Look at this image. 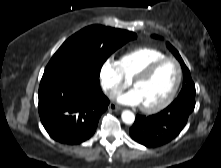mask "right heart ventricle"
<instances>
[{"label":"right heart ventricle","mask_w":221,"mask_h":168,"mask_svg":"<svg viewBox=\"0 0 221 168\" xmlns=\"http://www.w3.org/2000/svg\"><path fill=\"white\" fill-rule=\"evenodd\" d=\"M164 57H166V55L162 51L144 47L124 53L118 62L125 78L132 80L149 64Z\"/></svg>","instance_id":"right-heart-ventricle-1"}]
</instances>
